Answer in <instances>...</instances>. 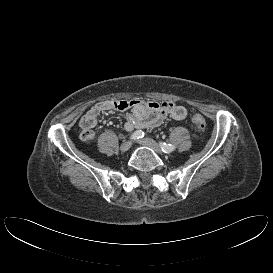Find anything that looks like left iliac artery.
<instances>
[{"mask_svg":"<svg viewBox=\"0 0 273 273\" xmlns=\"http://www.w3.org/2000/svg\"><path fill=\"white\" fill-rule=\"evenodd\" d=\"M160 147L164 153H170L176 148L174 145L165 142H160Z\"/></svg>","mask_w":273,"mask_h":273,"instance_id":"1","label":"left iliac artery"}]
</instances>
